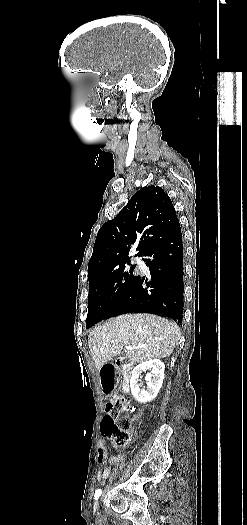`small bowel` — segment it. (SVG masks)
Returning <instances> with one entry per match:
<instances>
[{"mask_svg": "<svg viewBox=\"0 0 247 525\" xmlns=\"http://www.w3.org/2000/svg\"><path fill=\"white\" fill-rule=\"evenodd\" d=\"M108 440H110L113 443V441L111 439L108 438ZM96 459H97L98 464L100 466H103L97 472V475H96L97 480L98 481L106 480L110 476L111 467L116 463L117 457L116 456H111L108 459V464L105 465L106 459H107V447H106V441L105 440H100L99 443H98V453H97V458Z\"/></svg>", "mask_w": 247, "mask_h": 525, "instance_id": "1", "label": "small bowel"}]
</instances>
